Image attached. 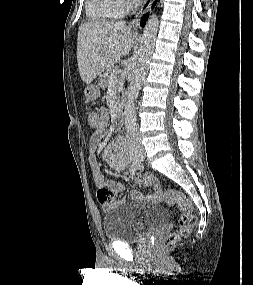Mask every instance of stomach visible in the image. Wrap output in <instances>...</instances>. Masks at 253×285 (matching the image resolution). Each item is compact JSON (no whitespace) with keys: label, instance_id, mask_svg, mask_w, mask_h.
Instances as JSON below:
<instances>
[{"label":"stomach","instance_id":"1","mask_svg":"<svg viewBox=\"0 0 253 285\" xmlns=\"http://www.w3.org/2000/svg\"><path fill=\"white\" fill-rule=\"evenodd\" d=\"M85 97L89 100L97 99L100 96V87L98 84H89L84 90Z\"/></svg>","mask_w":253,"mask_h":285}]
</instances>
